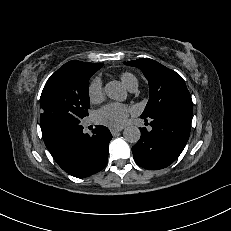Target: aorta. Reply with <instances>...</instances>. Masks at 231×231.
I'll use <instances>...</instances> for the list:
<instances>
[{
  "label": "aorta",
  "mask_w": 231,
  "mask_h": 231,
  "mask_svg": "<svg viewBox=\"0 0 231 231\" xmlns=\"http://www.w3.org/2000/svg\"><path fill=\"white\" fill-rule=\"evenodd\" d=\"M106 95L113 100L124 101L127 98V92L118 81H111L105 86ZM124 139L130 143H137L141 132L136 126H128L123 131Z\"/></svg>",
  "instance_id": "obj_1"
}]
</instances>
